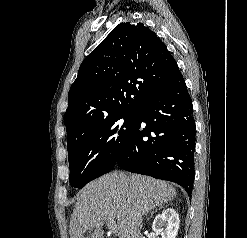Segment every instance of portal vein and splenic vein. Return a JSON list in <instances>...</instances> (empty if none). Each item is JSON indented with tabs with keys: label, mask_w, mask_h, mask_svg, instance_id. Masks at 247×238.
<instances>
[{
	"label": "portal vein and splenic vein",
	"mask_w": 247,
	"mask_h": 238,
	"mask_svg": "<svg viewBox=\"0 0 247 238\" xmlns=\"http://www.w3.org/2000/svg\"><path fill=\"white\" fill-rule=\"evenodd\" d=\"M107 225L112 233L118 232V225L114 222V220H108Z\"/></svg>",
	"instance_id": "1"
}]
</instances>
